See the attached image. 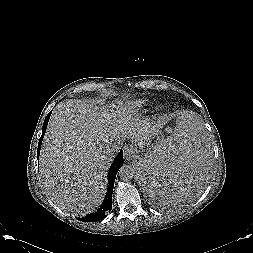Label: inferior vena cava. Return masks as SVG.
Masks as SVG:
<instances>
[{
  "instance_id": "obj_1",
  "label": "inferior vena cava",
  "mask_w": 253,
  "mask_h": 253,
  "mask_svg": "<svg viewBox=\"0 0 253 253\" xmlns=\"http://www.w3.org/2000/svg\"><path fill=\"white\" fill-rule=\"evenodd\" d=\"M119 149H120V145L114 144V145L108 147V148H107V151H108L109 153H113V154H114V153L118 152Z\"/></svg>"
}]
</instances>
